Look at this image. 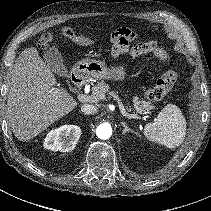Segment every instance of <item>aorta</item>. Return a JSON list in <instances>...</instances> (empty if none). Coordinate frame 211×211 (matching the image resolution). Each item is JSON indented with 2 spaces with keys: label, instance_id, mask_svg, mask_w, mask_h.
Wrapping results in <instances>:
<instances>
[{
  "label": "aorta",
  "instance_id": "aorta-1",
  "mask_svg": "<svg viewBox=\"0 0 211 211\" xmlns=\"http://www.w3.org/2000/svg\"><path fill=\"white\" fill-rule=\"evenodd\" d=\"M96 135L102 140L109 139L112 135V128L109 124H100L96 129Z\"/></svg>",
  "mask_w": 211,
  "mask_h": 211
}]
</instances>
